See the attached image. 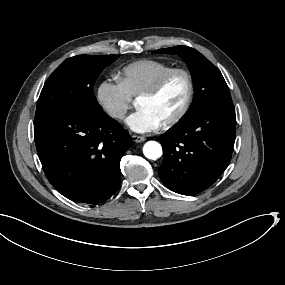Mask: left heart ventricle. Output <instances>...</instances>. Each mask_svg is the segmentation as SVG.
<instances>
[{
  "instance_id": "1",
  "label": "left heart ventricle",
  "mask_w": 285,
  "mask_h": 285,
  "mask_svg": "<svg viewBox=\"0 0 285 285\" xmlns=\"http://www.w3.org/2000/svg\"><path fill=\"white\" fill-rule=\"evenodd\" d=\"M185 90L182 77H174L167 86L155 96L142 102L161 121L175 112L180 106Z\"/></svg>"
}]
</instances>
